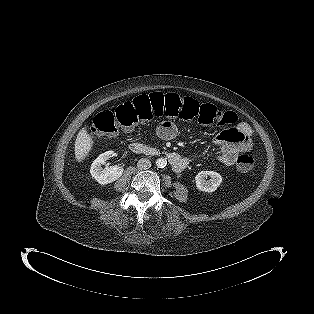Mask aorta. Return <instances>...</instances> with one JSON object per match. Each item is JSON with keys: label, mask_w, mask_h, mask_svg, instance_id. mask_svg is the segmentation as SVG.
<instances>
[{"label": "aorta", "mask_w": 314, "mask_h": 314, "mask_svg": "<svg viewBox=\"0 0 314 314\" xmlns=\"http://www.w3.org/2000/svg\"><path fill=\"white\" fill-rule=\"evenodd\" d=\"M167 165V159L166 158H158L156 160V166L159 168H164Z\"/></svg>", "instance_id": "obj_1"}]
</instances>
